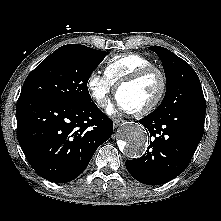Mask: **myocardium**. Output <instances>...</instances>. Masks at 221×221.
<instances>
[{
	"label": "myocardium",
	"instance_id": "1",
	"mask_svg": "<svg viewBox=\"0 0 221 221\" xmlns=\"http://www.w3.org/2000/svg\"><path fill=\"white\" fill-rule=\"evenodd\" d=\"M151 73L158 74L160 81H161V87H160V91H159L158 95L155 97V99L151 103H149L148 105H146L144 107H141V108L135 109V110L124 109V111H126L127 113L134 115V116L146 115V114L154 111L160 105L162 100L164 99L166 91H167V77H166L165 73L160 68H158L156 66H149V67L141 68V69L133 72L129 76L120 80L117 83L116 88H115V96L117 97L118 92L123 87L131 85L133 83H136L137 81L145 78L146 76H148Z\"/></svg>",
	"mask_w": 221,
	"mask_h": 221
}]
</instances>
